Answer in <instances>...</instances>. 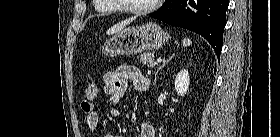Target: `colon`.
Returning a JSON list of instances; mask_svg holds the SVG:
<instances>
[{
	"instance_id": "5ec220e1",
	"label": "colon",
	"mask_w": 280,
	"mask_h": 137,
	"mask_svg": "<svg viewBox=\"0 0 280 137\" xmlns=\"http://www.w3.org/2000/svg\"><path fill=\"white\" fill-rule=\"evenodd\" d=\"M98 86L95 81L87 82L83 87V93L88 98H94L97 95Z\"/></svg>"
}]
</instances>
